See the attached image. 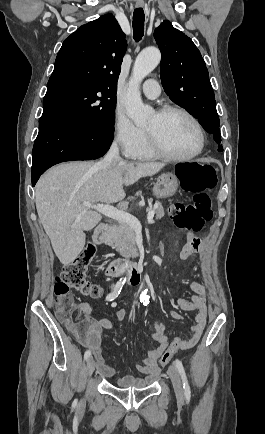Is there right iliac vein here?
<instances>
[{
  "label": "right iliac vein",
  "instance_id": "obj_1",
  "mask_svg": "<svg viewBox=\"0 0 265 434\" xmlns=\"http://www.w3.org/2000/svg\"><path fill=\"white\" fill-rule=\"evenodd\" d=\"M95 370V362L93 357H90L86 364V372L88 376H91Z\"/></svg>",
  "mask_w": 265,
  "mask_h": 434
}]
</instances>
